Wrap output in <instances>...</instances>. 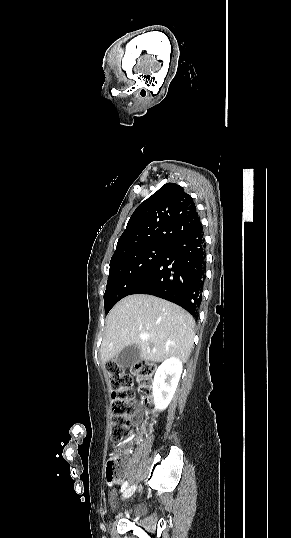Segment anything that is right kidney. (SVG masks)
Returning <instances> with one entry per match:
<instances>
[{"mask_svg":"<svg viewBox=\"0 0 291 538\" xmlns=\"http://www.w3.org/2000/svg\"><path fill=\"white\" fill-rule=\"evenodd\" d=\"M182 373V362L177 357L166 359L156 370L153 381V397L157 410L169 405Z\"/></svg>","mask_w":291,"mask_h":538,"instance_id":"1","label":"right kidney"}]
</instances>
